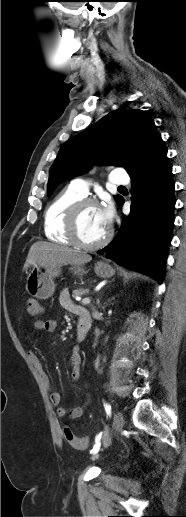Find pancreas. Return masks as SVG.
I'll return each instance as SVG.
<instances>
[{
    "label": "pancreas",
    "mask_w": 186,
    "mask_h": 517,
    "mask_svg": "<svg viewBox=\"0 0 186 517\" xmlns=\"http://www.w3.org/2000/svg\"><path fill=\"white\" fill-rule=\"evenodd\" d=\"M88 291H89L88 289H84V288L75 289L72 292V297L76 298L77 296L85 295L86 293H88Z\"/></svg>",
    "instance_id": "pancreas-1"
}]
</instances>
